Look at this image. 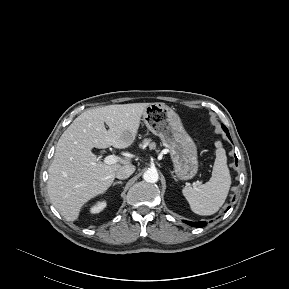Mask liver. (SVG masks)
<instances>
[{
    "label": "liver",
    "instance_id": "obj_1",
    "mask_svg": "<svg viewBox=\"0 0 289 289\" xmlns=\"http://www.w3.org/2000/svg\"><path fill=\"white\" fill-rule=\"evenodd\" d=\"M149 105L132 103L87 110L61 135L48 169L47 191L52 204L67 221H76L82 206L103 194L111 186L117 170L131 163L129 154L119 158L118 164L102 163L92 148L131 146Z\"/></svg>",
    "mask_w": 289,
    "mask_h": 289
}]
</instances>
